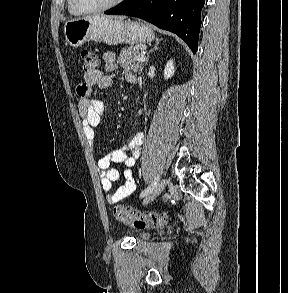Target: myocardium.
<instances>
[{
  "label": "myocardium",
  "mask_w": 288,
  "mask_h": 293,
  "mask_svg": "<svg viewBox=\"0 0 288 293\" xmlns=\"http://www.w3.org/2000/svg\"><path fill=\"white\" fill-rule=\"evenodd\" d=\"M123 1L124 0H113L112 2H110L108 4H105L103 6L90 8V9H85V8L80 7L77 4L76 0H69L72 9L78 14H91V13H97V12L106 11V10H109V9L119 5Z\"/></svg>",
  "instance_id": "myocardium-1"
}]
</instances>
